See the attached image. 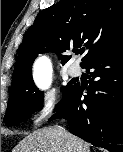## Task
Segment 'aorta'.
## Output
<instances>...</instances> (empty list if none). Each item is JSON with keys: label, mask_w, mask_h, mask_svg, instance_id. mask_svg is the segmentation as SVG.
I'll use <instances>...</instances> for the list:
<instances>
[{"label": "aorta", "mask_w": 123, "mask_h": 152, "mask_svg": "<svg viewBox=\"0 0 123 152\" xmlns=\"http://www.w3.org/2000/svg\"><path fill=\"white\" fill-rule=\"evenodd\" d=\"M51 62L45 57H39L34 64V77L40 89H47L51 82Z\"/></svg>", "instance_id": "obj_1"}]
</instances>
